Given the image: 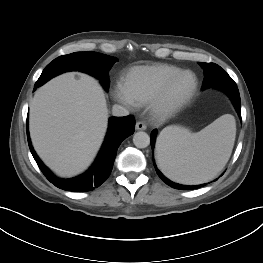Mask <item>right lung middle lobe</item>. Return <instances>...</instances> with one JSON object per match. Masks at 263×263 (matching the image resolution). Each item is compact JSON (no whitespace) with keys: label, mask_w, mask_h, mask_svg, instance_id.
Instances as JSON below:
<instances>
[{"label":"right lung middle lobe","mask_w":263,"mask_h":263,"mask_svg":"<svg viewBox=\"0 0 263 263\" xmlns=\"http://www.w3.org/2000/svg\"><path fill=\"white\" fill-rule=\"evenodd\" d=\"M116 61L114 57L96 52H75L63 55L46 66L38 82H46L66 71L79 70L99 78L105 90H108V72Z\"/></svg>","instance_id":"1"}]
</instances>
